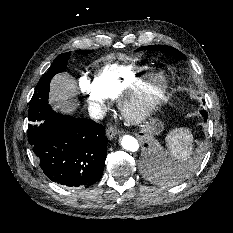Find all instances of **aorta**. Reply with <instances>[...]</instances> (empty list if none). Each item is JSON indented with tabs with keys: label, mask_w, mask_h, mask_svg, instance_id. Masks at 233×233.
Masks as SVG:
<instances>
[{
	"label": "aorta",
	"mask_w": 233,
	"mask_h": 233,
	"mask_svg": "<svg viewBox=\"0 0 233 233\" xmlns=\"http://www.w3.org/2000/svg\"><path fill=\"white\" fill-rule=\"evenodd\" d=\"M121 145L124 149L131 152H136L139 149V142L136 138L130 135H124L121 139Z\"/></svg>",
	"instance_id": "1"
}]
</instances>
